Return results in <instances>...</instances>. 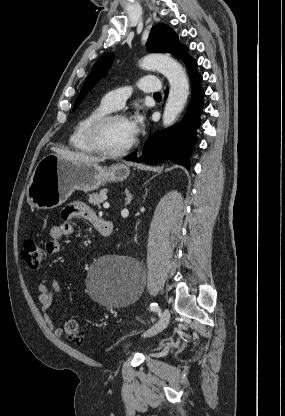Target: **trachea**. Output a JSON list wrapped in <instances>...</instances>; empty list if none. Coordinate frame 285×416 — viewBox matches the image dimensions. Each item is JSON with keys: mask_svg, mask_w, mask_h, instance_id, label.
I'll return each mask as SVG.
<instances>
[{"mask_svg": "<svg viewBox=\"0 0 285 416\" xmlns=\"http://www.w3.org/2000/svg\"><path fill=\"white\" fill-rule=\"evenodd\" d=\"M153 96H161V93L160 92H156V93H154Z\"/></svg>", "mask_w": 285, "mask_h": 416, "instance_id": "3493384b", "label": "trachea"}]
</instances>
